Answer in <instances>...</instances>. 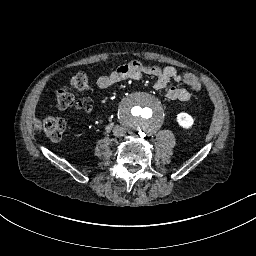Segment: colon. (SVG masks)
Listing matches in <instances>:
<instances>
[{"label":"colon","mask_w":256,"mask_h":256,"mask_svg":"<svg viewBox=\"0 0 256 256\" xmlns=\"http://www.w3.org/2000/svg\"><path fill=\"white\" fill-rule=\"evenodd\" d=\"M180 79L193 91H202V81L197 75L192 73H184L180 76ZM88 87L89 78L85 73L80 72L73 75L68 82V87L66 89H59L56 92V106L59 109H83V103L74 97L72 90H86ZM66 128L67 122L61 118H47L43 123L44 132L46 136L52 141H60L64 136Z\"/></svg>","instance_id":"colon-1"}]
</instances>
